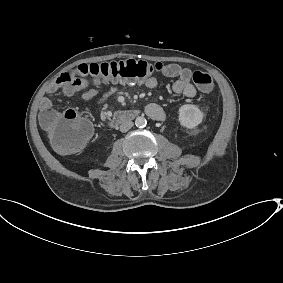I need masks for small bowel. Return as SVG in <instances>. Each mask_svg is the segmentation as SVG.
Masks as SVG:
<instances>
[{
  "label": "small bowel",
  "mask_w": 283,
  "mask_h": 283,
  "mask_svg": "<svg viewBox=\"0 0 283 283\" xmlns=\"http://www.w3.org/2000/svg\"><path fill=\"white\" fill-rule=\"evenodd\" d=\"M162 73L168 78L175 79L172 85V89L175 93L183 94L188 98H193L197 94L195 86L191 83L192 72L190 69L183 68L178 64L172 63L165 65L162 69ZM145 85L148 88L156 89L159 87V82L155 77H149L145 80ZM88 87V80L77 79L73 81H64L62 76H59L48 86L46 95L41 100L40 107L42 112L51 109L54 110L50 97L57 92H61L66 96H71L78 91H83L82 100L85 103L95 100L96 104L101 105L116 91L115 86H111L105 91L99 87ZM145 113L156 121H164L166 119V113L164 109L156 103L147 104L145 107Z\"/></svg>",
  "instance_id": "1"
}]
</instances>
